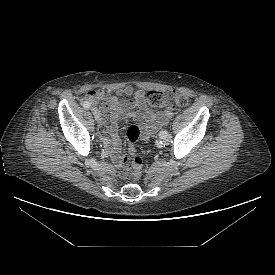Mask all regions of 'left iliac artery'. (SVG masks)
<instances>
[{"mask_svg":"<svg viewBox=\"0 0 275 275\" xmlns=\"http://www.w3.org/2000/svg\"><path fill=\"white\" fill-rule=\"evenodd\" d=\"M166 135H168V132L165 131V130L164 131H160V133H159L160 138H162V137H164Z\"/></svg>","mask_w":275,"mask_h":275,"instance_id":"obj_1","label":"left iliac artery"}]
</instances>
